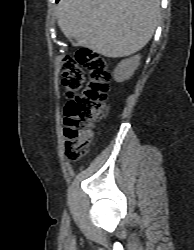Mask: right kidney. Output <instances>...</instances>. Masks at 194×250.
Listing matches in <instances>:
<instances>
[{
  "label": "right kidney",
  "instance_id": "obj_1",
  "mask_svg": "<svg viewBox=\"0 0 194 250\" xmlns=\"http://www.w3.org/2000/svg\"><path fill=\"white\" fill-rule=\"evenodd\" d=\"M140 56L135 55L129 59L121 61L114 70L113 77L117 82H123L130 79L134 71L140 64Z\"/></svg>",
  "mask_w": 194,
  "mask_h": 250
}]
</instances>
